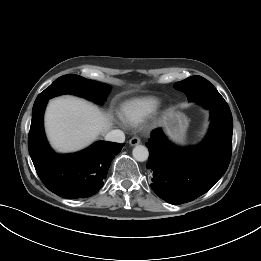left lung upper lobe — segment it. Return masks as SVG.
Listing matches in <instances>:
<instances>
[{
    "label": "left lung upper lobe",
    "mask_w": 261,
    "mask_h": 261,
    "mask_svg": "<svg viewBox=\"0 0 261 261\" xmlns=\"http://www.w3.org/2000/svg\"><path fill=\"white\" fill-rule=\"evenodd\" d=\"M207 82H209V81H207L205 78H203L201 76H192L183 81L175 83L174 87H175V89H177L179 91H183L186 94V96L188 97V95L191 92L195 91V89L198 88L201 84L207 83Z\"/></svg>",
    "instance_id": "1"
}]
</instances>
